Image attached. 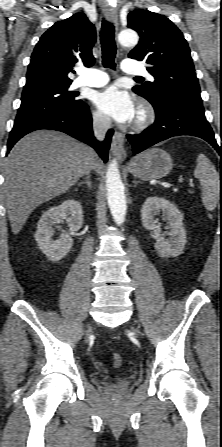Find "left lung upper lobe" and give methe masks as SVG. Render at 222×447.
<instances>
[{
    "label": "left lung upper lobe",
    "mask_w": 222,
    "mask_h": 447,
    "mask_svg": "<svg viewBox=\"0 0 222 447\" xmlns=\"http://www.w3.org/2000/svg\"><path fill=\"white\" fill-rule=\"evenodd\" d=\"M128 27L140 35L129 58L145 61L155 78L154 82L134 86L133 91L153 106L171 97L202 106L190 49L181 31L165 16L143 9L129 13Z\"/></svg>",
    "instance_id": "obj_1"
}]
</instances>
